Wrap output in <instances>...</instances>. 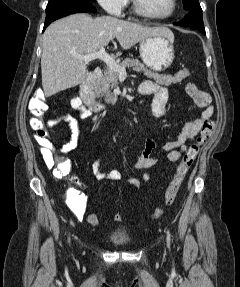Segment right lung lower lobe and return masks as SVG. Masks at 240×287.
<instances>
[{
  "label": "right lung lower lobe",
  "mask_w": 240,
  "mask_h": 287,
  "mask_svg": "<svg viewBox=\"0 0 240 287\" xmlns=\"http://www.w3.org/2000/svg\"><path fill=\"white\" fill-rule=\"evenodd\" d=\"M95 8L90 1L76 2V3H65L57 6H53L46 10V19L44 23L45 28L52 23L53 21L65 17L74 13H83V12H95Z\"/></svg>",
  "instance_id": "98d812e1"
}]
</instances>
